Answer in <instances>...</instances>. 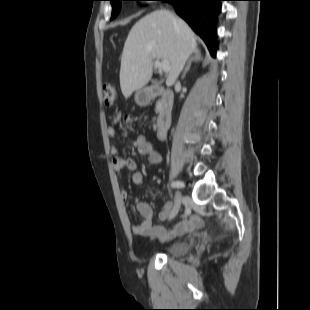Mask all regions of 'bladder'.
Masks as SVG:
<instances>
[{"instance_id":"obj_1","label":"bladder","mask_w":310,"mask_h":310,"mask_svg":"<svg viewBox=\"0 0 310 310\" xmlns=\"http://www.w3.org/2000/svg\"><path fill=\"white\" fill-rule=\"evenodd\" d=\"M190 248L191 244L189 241H175L165 248L164 254L167 257H181L184 256L190 250Z\"/></svg>"}]
</instances>
